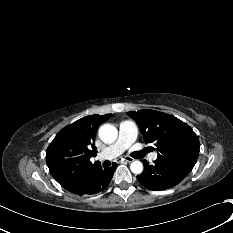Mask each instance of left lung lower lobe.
<instances>
[{
    "label": "left lung lower lobe",
    "instance_id": "obj_1",
    "mask_svg": "<svg viewBox=\"0 0 233 233\" xmlns=\"http://www.w3.org/2000/svg\"><path fill=\"white\" fill-rule=\"evenodd\" d=\"M143 163L144 171L137 179L143 186L153 191L172 188L188 175L159 160H155L151 165L146 160Z\"/></svg>",
    "mask_w": 233,
    "mask_h": 233
}]
</instances>
